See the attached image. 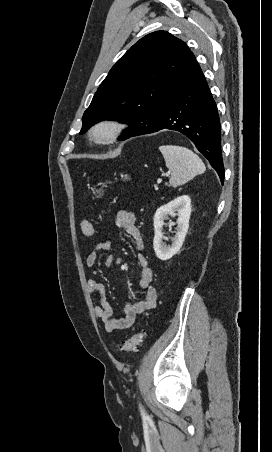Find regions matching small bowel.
I'll return each instance as SVG.
<instances>
[{
    "instance_id": "c3829d8e",
    "label": "small bowel",
    "mask_w": 272,
    "mask_h": 452,
    "mask_svg": "<svg viewBox=\"0 0 272 452\" xmlns=\"http://www.w3.org/2000/svg\"><path fill=\"white\" fill-rule=\"evenodd\" d=\"M115 223L116 226L129 235L134 242L137 251V261L140 267L138 286L146 291V296L144 300L128 302L124 308L123 316L115 318L113 317L111 306L104 298V286L94 279H88L87 288L90 296L95 300V313L103 322L104 327L108 332H114L131 327L139 314L153 308L157 302V292L151 286L153 273L151 267L149 266L148 259L144 255L145 245L142 235L136 226L135 214L131 211L120 210L116 214ZM113 244L114 241L111 239H104L98 242L95 248L85 258L86 267H93L98 253L101 251H110ZM118 262L119 260L115 257V255L110 253L106 256L104 265L111 266Z\"/></svg>"
}]
</instances>
